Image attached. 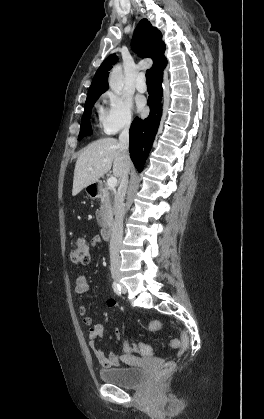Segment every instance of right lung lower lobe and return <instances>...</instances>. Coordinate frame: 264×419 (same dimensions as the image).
<instances>
[{
  "mask_svg": "<svg viewBox=\"0 0 264 419\" xmlns=\"http://www.w3.org/2000/svg\"><path fill=\"white\" fill-rule=\"evenodd\" d=\"M162 78L163 72L153 76L154 91L148 99V105L151 109L149 117L144 120L135 118L129 131V152L131 159L139 172L142 171L147 155L150 152L160 122Z\"/></svg>",
  "mask_w": 264,
  "mask_h": 419,
  "instance_id": "98d812e1",
  "label": "right lung lower lobe"
}]
</instances>
